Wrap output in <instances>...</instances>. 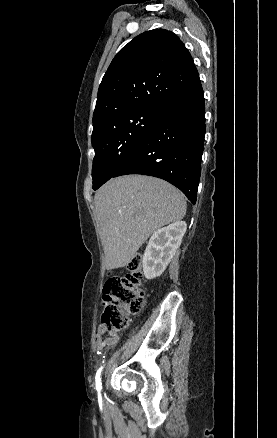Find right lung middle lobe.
Masks as SVG:
<instances>
[{"label": "right lung middle lobe", "mask_w": 277, "mask_h": 438, "mask_svg": "<svg viewBox=\"0 0 277 438\" xmlns=\"http://www.w3.org/2000/svg\"><path fill=\"white\" fill-rule=\"evenodd\" d=\"M160 111L143 109L136 113L111 116L93 124V189L112 178L144 142Z\"/></svg>", "instance_id": "right-lung-middle-lobe-1"}]
</instances>
